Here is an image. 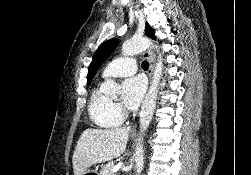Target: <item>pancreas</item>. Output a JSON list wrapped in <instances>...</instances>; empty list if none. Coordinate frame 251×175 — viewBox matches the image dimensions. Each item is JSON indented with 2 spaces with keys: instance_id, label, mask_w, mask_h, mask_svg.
I'll return each mask as SVG.
<instances>
[{
  "instance_id": "pancreas-1",
  "label": "pancreas",
  "mask_w": 251,
  "mask_h": 175,
  "mask_svg": "<svg viewBox=\"0 0 251 175\" xmlns=\"http://www.w3.org/2000/svg\"><path fill=\"white\" fill-rule=\"evenodd\" d=\"M115 165V161H108L106 165H103L100 175H116V173H113L112 169Z\"/></svg>"
}]
</instances>
